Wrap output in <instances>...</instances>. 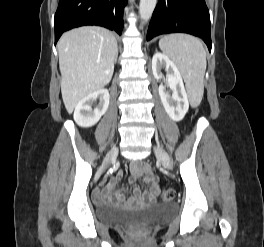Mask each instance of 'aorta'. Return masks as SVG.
<instances>
[{
	"instance_id": "1",
	"label": "aorta",
	"mask_w": 264,
	"mask_h": 247,
	"mask_svg": "<svg viewBox=\"0 0 264 247\" xmlns=\"http://www.w3.org/2000/svg\"><path fill=\"white\" fill-rule=\"evenodd\" d=\"M157 0H140L139 15L142 22H147L155 9Z\"/></svg>"
}]
</instances>
